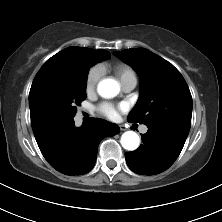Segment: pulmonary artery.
<instances>
[{
	"instance_id": "pulmonary-artery-1",
	"label": "pulmonary artery",
	"mask_w": 222,
	"mask_h": 222,
	"mask_svg": "<svg viewBox=\"0 0 222 222\" xmlns=\"http://www.w3.org/2000/svg\"><path fill=\"white\" fill-rule=\"evenodd\" d=\"M121 85H122V90L124 92H130L135 88L136 81L135 80H129V81H126V82L122 83ZM147 130H148V128L146 126H141V128H140V131L142 133H146Z\"/></svg>"
}]
</instances>
